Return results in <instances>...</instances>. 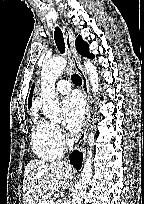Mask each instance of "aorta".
<instances>
[{
	"instance_id": "762f6f07",
	"label": "aorta",
	"mask_w": 144,
	"mask_h": 204,
	"mask_svg": "<svg viewBox=\"0 0 144 204\" xmlns=\"http://www.w3.org/2000/svg\"><path fill=\"white\" fill-rule=\"evenodd\" d=\"M67 64V59L65 57H56L54 59L45 61L41 70V94L40 102L42 105L43 114L46 118L52 121H58L59 119V103L58 97L55 92V83L65 69ZM84 68L86 73L89 75L90 84L92 87V92L94 96L99 94L101 90L99 85V75L96 67L90 61L84 62ZM94 117L92 122L95 123ZM95 126L91 125V131L88 135V145L87 158L83 165L80 179L76 185L72 197V204H82V201L86 195L87 189L90 185L91 178L93 175L92 168V157H93V147L95 143Z\"/></svg>"
}]
</instances>
